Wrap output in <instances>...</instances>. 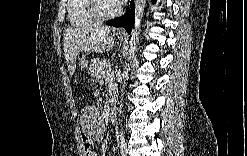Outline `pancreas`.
Instances as JSON below:
<instances>
[{"instance_id": "1", "label": "pancreas", "mask_w": 247, "mask_h": 156, "mask_svg": "<svg viewBox=\"0 0 247 156\" xmlns=\"http://www.w3.org/2000/svg\"><path fill=\"white\" fill-rule=\"evenodd\" d=\"M111 71V63L109 60L99 61L94 67L90 69L92 76L96 77V81L100 84L106 82L107 74Z\"/></svg>"}]
</instances>
